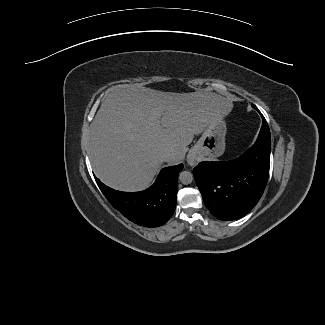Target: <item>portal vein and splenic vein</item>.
Returning a JSON list of instances; mask_svg holds the SVG:
<instances>
[{
	"label": "portal vein and splenic vein",
	"instance_id": "1",
	"mask_svg": "<svg viewBox=\"0 0 325 325\" xmlns=\"http://www.w3.org/2000/svg\"><path fill=\"white\" fill-rule=\"evenodd\" d=\"M162 113H163L162 109L158 110L157 116H158L159 119L161 118ZM158 122H160V121H158Z\"/></svg>",
	"mask_w": 325,
	"mask_h": 325
}]
</instances>
